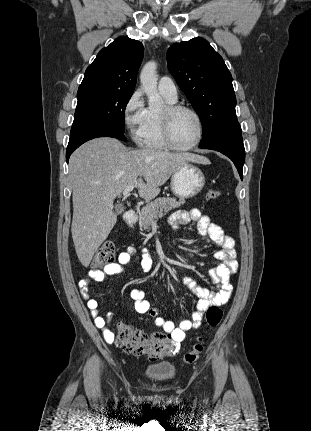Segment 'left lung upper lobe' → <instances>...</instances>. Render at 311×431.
<instances>
[{
  "label": "left lung upper lobe",
  "instance_id": "obj_1",
  "mask_svg": "<svg viewBox=\"0 0 311 431\" xmlns=\"http://www.w3.org/2000/svg\"><path fill=\"white\" fill-rule=\"evenodd\" d=\"M168 68L203 125L200 146L241 132L232 76L222 57L203 38L173 44Z\"/></svg>",
  "mask_w": 311,
  "mask_h": 431
}]
</instances>
